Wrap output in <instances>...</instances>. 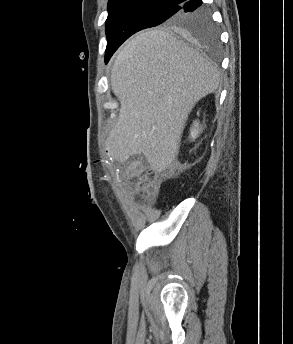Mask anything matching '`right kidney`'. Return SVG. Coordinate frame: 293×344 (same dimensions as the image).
I'll list each match as a JSON object with an SVG mask.
<instances>
[{
  "mask_svg": "<svg viewBox=\"0 0 293 344\" xmlns=\"http://www.w3.org/2000/svg\"><path fill=\"white\" fill-rule=\"evenodd\" d=\"M201 132V128L199 127V122L194 121L193 127L190 130V136L194 140L198 137V134Z\"/></svg>",
  "mask_w": 293,
  "mask_h": 344,
  "instance_id": "right-kidney-1",
  "label": "right kidney"
}]
</instances>
